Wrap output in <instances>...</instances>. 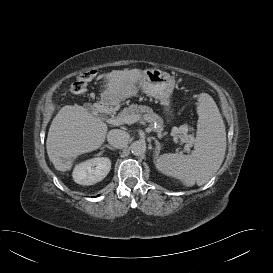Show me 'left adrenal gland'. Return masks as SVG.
<instances>
[{
    "label": "left adrenal gland",
    "instance_id": "left-adrenal-gland-1",
    "mask_svg": "<svg viewBox=\"0 0 273 273\" xmlns=\"http://www.w3.org/2000/svg\"><path fill=\"white\" fill-rule=\"evenodd\" d=\"M155 144H156V152H155L154 159H156L158 157L160 150H161V144L158 140H155Z\"/></svg>",
    "mask_w": 273,
    "mask_h": 273
}]
</instances>
